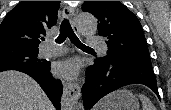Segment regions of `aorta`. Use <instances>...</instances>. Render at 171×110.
Masks as SVG:
<instances>
[{"label":"aorta","mask_w":171,"mask_h":110,"mask_svg":"<svg viewBox=\"0 0 171 110\" xmlns=\"http://www.w3.org/2000/svg\"><path fill=\"white\" fill-rule=\"evenodd\" d=\"M79 32L83 36L93 35L98 27L97 19L88 13H82L77 18Z\"/></svg>","instance_id":"762f6f07"}]
</instances>
